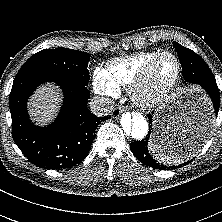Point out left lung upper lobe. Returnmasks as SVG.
Returning a JSON list of instances; mask_svg holds the SVG:
<instances>
[{
    "instance_id": "1",
    "label": "left lung upper lobe",
    "mask_w": 222,
    "mask_h": 222,
    "mask_svg": "<svg viewBox=\"0 0 222 222\" xmlns=\"http://www.w3.org/2000/svg\"><path fill=\"white\" fill-rule=\"evenodd\" d=\"M175 50L179 54V59H192L193 61L197 62L198 65L202 68V71L205 72V80H210L211 82H215V77L211 70L209 69L208 65L206 62L194 51L190 50L189 48L183 47L177 42H173Z\"/></svg>"
}]
</instances>
